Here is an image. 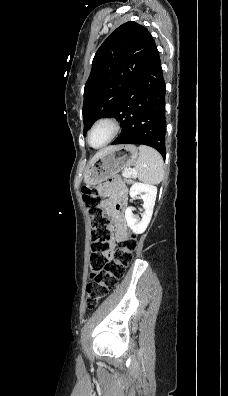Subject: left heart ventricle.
Listing matches in <instances>:
<instances>
[{"instance_id":"b2bd125f","label":"left heart ventricle","mask_w":228,"mask_h":396,"mask_svg":"<svg viewBox=\"0 0 228 396\" xmlns=\"http://www.w3.org/2000/svg\"><path fill=\"white\" fill-rule=\"evenodd\" d=\"M110 129L106 125H100L91 134L90 142L93 146L102 145L109 137Z\"/></svg>"}]
</instances>
